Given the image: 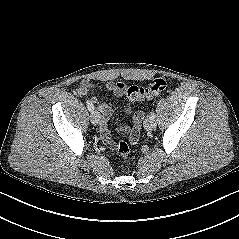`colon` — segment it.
Wrapping results in <instances>:
<instances>
[{"instance_id": "1", "label": "colon", "mask_w": 239, "mask_h": 239, "mask_svg": "<svg viewBox=\"0 0 239 239\" xmlns=\"http://www.w3.org/2000/svg\"><path fill=\"white\" fill-rule=\"evenodd\" d=\"M168 78L158 77L153 79L146 86L131 85L126 88L124 92L125 99L127 101H143L153 98L154 96L160 94L168 86ZM139 122L138 116L136 117L134 123V133L139 134ZM116 150L118 155L123 159L127 160L130 156V148L125 141H119L116 144Z\"/></svg>"}]
</instances>
